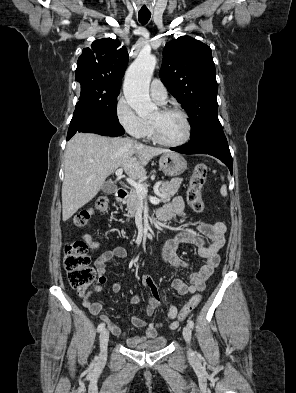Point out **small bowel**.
I'll use <instances>...</instances> for the list:
<instances>
[{
	"instance_id": "small-bowel-1",
	"label": "small bowel",
	"mask_w": 296,
	"mask_h": 393,
	"mask_svg": "<svg viewBox=\"0 0 296 393\" xmlns=\"http://www.w3.org/2000/svg\"><path fill=\"white\" fill-rule=\"evenodd\" d=\"M188 215L189 213L185 208L184 201L180 196L173 198L171 202L167 203L159 210V216L164 220H177L187 217ZM225 232V224L220 221H215L199 225L196 231H180L175 237L166 242L162 250L163 260L165 263L175 268L181 269L187 267V263L176 255L178 246L183 243L197 246L198 254L203 259V265L198 271L190 274L188 283L182 279L173 280L172 287L178 294L187 295L204 291L206 280L212 275L214 269L219 264V251L224 244ZM205 238L208 239V242ZM127 256L128 252L122 246H115L100 254L95 260V267L98 275L97 284L82 297V304L84 307L88 308L91 314L99 315L100 319L114 335L125 338L127 344L132 347L154 339L157 336V331L163 327V324L158 322H146L137 316H133L131 318L132 323L138 328H144L145 331L142 335L126 337L108 315L102 314L103 305L100 302L91 301V297L95 293L100 292L103 285L108 281H112L111 290L114 293H118L121 290L120 282L116 278L109 277L106 274V266L107 263L113 259H124L127 258ZM156 268H159V266ZM142 284L151 291V296L146 306V313L148 316H152L161 306L160 294L155 286L153 274L148 273L143 275ZM130 303L138 304L140 303V298L138 296H133L130 298ZM177 312L178 309L175 305L169 307L167 318L171 322L166 324V326L170 329H175L179 325V321L176 320Z\"/></svg>"
}]
</instances>
